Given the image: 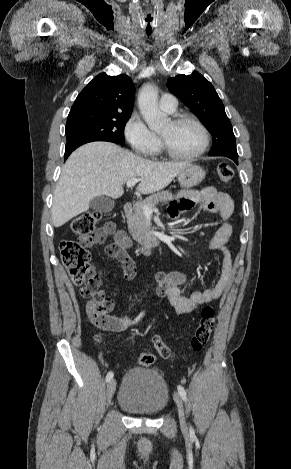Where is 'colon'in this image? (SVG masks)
<instances>
[{"instance_id":"5ec220e1","label":"colon","mask_w":291,"mask_h":469,"mask_svg":"<svg viewBox=\"0 0 291 469\" xmlns=\"http://www.w3.org/2000/svg\"><path fill=\"white\" fill-rule=\"evenodd\" d=\"M219 179L223 183H229L234 177L232 167L227 163L219 164L217 168ZM101 214L97 211H88L76 216L71 222V231L79 236L78 240H63L60 245L62 261L69 273L72 282L81 286V295L88 299L86 311L90 321L98 328L109 330L113 324L109 312L113 308V300L108 298L103 291L98 289L100 276L90 264L88 246L93 244L100 235L97 224ZM109 255L122 259V274L124 278H132L135 274V265L127 258L119 246L112 243L107 246ZM215 325V313L212 308L205 307L201 311L196 329L191 338V348L198 352L208 343ZM153 345L160 357L169 360L173 358V352L159 335L152 338ZM139 363L144 367L153 365L156 355L143 352L139 355Z\"/></svg>"}]
</instances>
